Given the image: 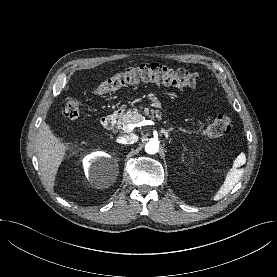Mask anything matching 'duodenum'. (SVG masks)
<instances>
[{
  "mask_svg": "<svg viewBox=\"0 0 277 277\" xmlns=\"http://www.w3.org/2000/svg\"><path fill=\"white\" fill-rule=\"evenodd\" d=\"M118 111L111 112L101 119V124L106 129H112L116 122Z\"/></svg>",
  "mask_w": 277,
  "mask_h": 277,
  "instance_id": "1",
  "label": "duodenum"
}]
</instances>
